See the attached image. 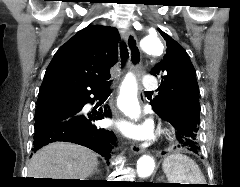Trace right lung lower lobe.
Listing matches in <instances>:
<instances>
[{"label": "right lung lower lobe", "instance_id": "right-lung-lower-lobe-1", "mask_svg": "<svg viewBox=\"0 0 240 187\" xmlns=\"http://www.w3.org/2000/svg\"><path fill=\"white\" fill-rule=\"evenodd\" d=\"M105 88L85 93L74 104L53 101L37 106L33 151L52 142L65 141L88 147L108 160L116 137L112 131L99 128L94 122L111 117L110 111L100 108L90 113L82 112L84 105L100 98Z\"/></svg>", "mask_w": 240, "mask_h": 187}]
</instances>
